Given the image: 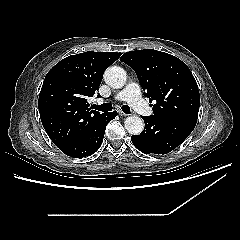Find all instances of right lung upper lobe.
<instances>
[{
	"label": "right lung upper lobe",
	"mask_w": 240,
	"mask_h": 240,
	"mask_svg": "<svg viewBox=\"0 0 240 240\" xmlns=\"http://www.w3.org/2000/svg\"><path fill=\"white\" fill-rule=\"evenodd\" d=\"M121 53L88 51L58 62L46 75L38 100L42 125L57 146L89 131L103 114L89 108L103 73Z\"/></svg>",
	"instance_id": "right-lung-upper-lobe-1"
}]
</instances>
